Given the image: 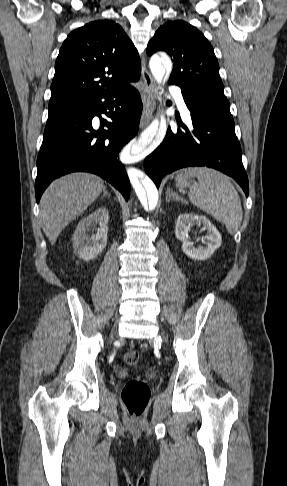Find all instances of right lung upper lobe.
I'll use <instances>...</instances> for the list:
<instances>
[{
  "mask_svg": "<svg viewBox=\"0 0 287 486\" xmlns=\"http://www.w3.org/2000/svg\"><path fill=\"white\" fill-rule=\"evenodd\" d=\"M138 52L117 23L90 22L72 31L55 64L48 109L77 108L90 99L138 81Z\"/></svg>",
  "mask_w": 287,
  "mask_h": 486,
  "instance_id": "right-lung-upper-lobe-1",
  "label": "right lung upper lobe"
}]
</instances>
